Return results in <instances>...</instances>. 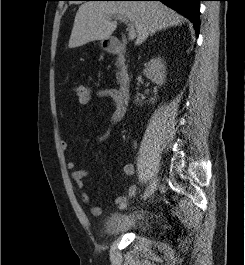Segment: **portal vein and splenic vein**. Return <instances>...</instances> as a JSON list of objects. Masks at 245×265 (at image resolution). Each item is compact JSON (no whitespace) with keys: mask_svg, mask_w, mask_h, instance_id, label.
Instances as JSON below:
<instances>
[{"mask_svg":"<svg viewBox=\"0 0 245 265\" xmlns=\"http://www.w3.org/2000/svg\"><path fill=\"white\" fill-rule=\"evenodd\" d=\"M118 19L122 22H125V24L127 25L128 39L134 40L136 38V31L134 29V25L132 23H129V20L126 17L118 16Z\"/></svg>","mask_w":245,"mask_h":265,"instance_id":"18ae733b","label":"portal vein and splenic vein"}]
</instances>
